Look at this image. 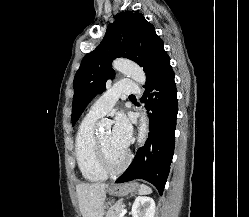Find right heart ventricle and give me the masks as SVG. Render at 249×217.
<instances>
[{
	"label": "right heart ventricle",
	"instance_id": "e07e8e85",
	"mask_svg": "<svg viewBox=\"0 0 249 217\" xmlns=\"http://www.w3.org/2000/svg\"><path fill=\"white\" fill-rule=\"evenodd\" d=\"M97 118L86 115L81 121L75 138V157L82 176L91 182L104 181L108 173L101 166L96 148L94 131Z\"/></svg>",
	"mask_w": 249,
	"mask_h": 217
}]
</instances>
